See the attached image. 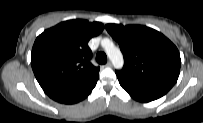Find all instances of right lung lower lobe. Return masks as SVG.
<instances>
[{
    "label": "right lung lower lobe",
    "mask_w": 203,
    "mask_h": 123,
    "mask_svg": "<svg viewBox=\"0 0 203 123\" xmlns=\"http://www.w3.org/2000/svg\"><path fill=\"white\" fill-rule=\"evenodd\" d=\"M97 80L86 86L57 90L47 93V95L59 103L74 104L83 100L90 94L96 86Z\"/></svg>",
    "instance_id": "98d812e1"
}]
</instances>
